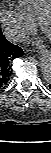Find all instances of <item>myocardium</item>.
Wrapping results in <instances>:
<instances>
[{
  "instance_id": "obj_1",
  "label": "myocardium",
  "mask_w": 51,
  "mask_h": 153,
  "mask_svg": "<svg viewBox=\"0 0 51 153\" xmlns=\"http://www.w3.org/2000/svg\"><path fill=\"white\" fill-rule=\"evenodd\" d=\"M51 20V9H47L42 13V15L38 19V26L42 32H45V24L47 21Z\"/></svg>"
}]
</instances>
